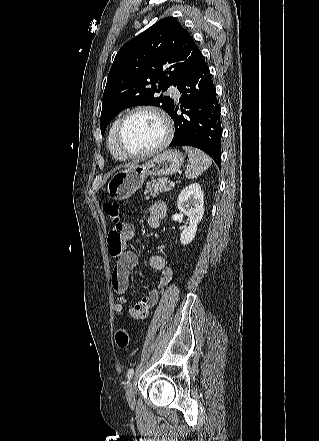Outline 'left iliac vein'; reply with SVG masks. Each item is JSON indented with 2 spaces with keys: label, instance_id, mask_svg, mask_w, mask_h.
Instances as JSON below:
<instances>
[{
  "label": "left iliac vein",
  "instance_id": "obj_1",
  "mask_svg": "<svg viewBox=\"0 0 319 441\" xmlns=\"http://www.w3.org/2000/svg\"><path fill=\"white\" fill-rule=\"evenodd\" d=\"M126 399L131 408L135 407V391L133 382H130L126 388Z\"/></svg>",
  "mask_w": 319,
  "mask_h": 441
}]
</instances>
